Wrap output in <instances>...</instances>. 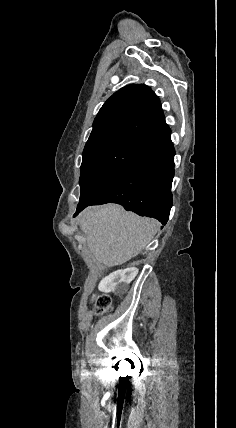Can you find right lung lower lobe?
<instances>
[{"label": "right lung lower lobe", "mask_w": 236, "mask_h": 428, "mask_svg": "<svg viewBox=\"0 0 236 428\" xmlns=\"http://www.w3.org/2000/svg\"><path fill=\"white\" fill-rule=\"evenodd\" d=\"M170 133L165 125L144 139L141 151L127 170L93 201L77 207L74 216L89 205L111 202L166 224L172 207L175 155Z\"/></svg>", "instance_id": "98d812e1"}]
</instances>
